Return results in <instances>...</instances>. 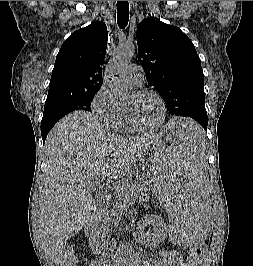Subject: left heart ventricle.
I'll return each instance as SVG.
<instances>
[{
  "label": "left heart ventricle",
  "mask_w": 253,
  "mask_h": 266,
  "mask_svg": "<svg viewBox=\"0 0 253 266\" xmlns=\"http://www.w3.org/2000/svg\"><path fill=\"white\" fill-rule=\"evenodd\" d=\"M125 106L130 109L137 123L142 127H152L158 123L161 116V107L153 95H136L132 92Z\"/></svg>",
  "instance_id": "left-heart-ventricle-1"
}]
</instances>
